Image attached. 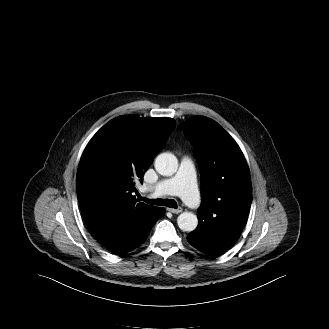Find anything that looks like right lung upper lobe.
I'll use <instances>...</instances> for the list:
<instances>
[{"mask_svg":"<svg viewBox=\"0 0 329 329\" xmlns=\"http://www.w3.org/2000/svg\"><path fill=\"white\" fill-rule=\"evenodd\" d=\"M172 118L120 116L89 141L79 162L76 189L81 212L92 229L113 216H134L154 209L137 203L132 192L174 130Z\"/></svg>","mask_w":329,"mask_h":329,"instance_id":"right-lung-upper-lobe-1","label":"right lung upper lobe"}]
</instances>
